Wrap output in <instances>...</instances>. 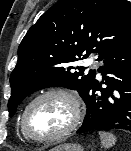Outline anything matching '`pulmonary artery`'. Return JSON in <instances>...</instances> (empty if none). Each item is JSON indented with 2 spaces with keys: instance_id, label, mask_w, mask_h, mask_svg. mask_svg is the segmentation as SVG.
<instances>
[{
  "instance_id": "obj_1",
  "label": "pulmonary artery",
  "mask_w": 131,
  "mask_h": 151,
  "mask_svg": "<svg viewBox=\"0 0 131 151\" xmlns=\"http://www.w3.org/2000/svg\"><path fill=\"white\" fill-rule=\"evenodd\" d=\"M86 65L89 66V67H92L93 66V60L92 59H87L86 60Z\"/></svg>"
}]
</instances>
